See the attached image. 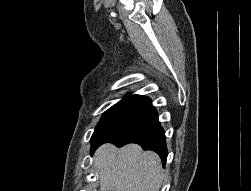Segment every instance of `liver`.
<instances>
[{
    "label": "liver",
    "instance_id": "6515ba94",
    "mask_svg": "<svg viewBox=\"0 0 251 191\" xmlns=\"http://www.w3.org/2000/svg\"><path fill=\"white\" fill-rule=\"evenodd\" d=\"M100 191H158L163 169L155 151H143L137 143L117 149L104 143L94 153Z\"/></svg>",
    "mask_w": 251,
    "mask_h": 191
}]
</instances>
